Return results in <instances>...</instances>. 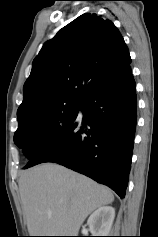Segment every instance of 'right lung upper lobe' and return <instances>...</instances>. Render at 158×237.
I'll return each instance as SVG.
<instances>
[{
    "label": "right lung upper lobe",
    "instance_id": "cb5924a9",
    "mask_svg": "<svg viewBox=\"0 0 158 237\" xmlns=\"http://www.w3.org/2000/svg\"><path fill=\"white\" fill-rule=\"evenodd\" d=\"M131 63L119 30L108 19L85 13L63 27L35 57L17 116L59 99L83 100Z\"/></svg>",
    "mask_w": 158,
    "mask_h": 237
}]
</instances>
